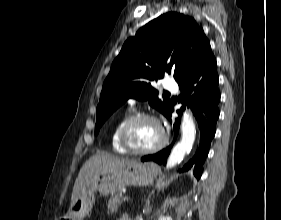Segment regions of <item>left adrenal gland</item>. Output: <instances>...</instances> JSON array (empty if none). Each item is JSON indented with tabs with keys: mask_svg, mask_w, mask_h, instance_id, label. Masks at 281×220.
Here are the masks:
<instances>
[{
	"mask_svg": "<svg viewBox=\"0 0 281 220\" xmlns=\"http://www.w3.org/2000/svg\"><path fill=\"white\" fill-rule=\"evenodd\" d=\"M151 207L149 206V202L147 203V206L144 208V213H150Z\"/></svg>",
	"mask_w": 281,
	"mask_h": 220,
	"instance_id": "left-adrenal-gland-1",
	"label": "left adrenal gland"
}]
</instances>
